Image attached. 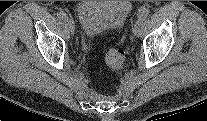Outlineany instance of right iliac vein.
<instances>
[{
	"instance_id": "63e3f726",
	"label": "right iliac vein",
	"mask_w": 207,
	"mask_h": 121,
	"mask_svg": "<svg viewBox=\"0 0 207 121\" xmlns=\"http://www.w3.org/2000/svg\"><path fill=\"white\" fill-rule=\"evenodd\" d=\"M65 22H66V25L68 26V28H69V31L71 32V33H74V31H75V23H74V21L71 19V18H66L65 19Z\"/></svg>"
}]
</instances>
